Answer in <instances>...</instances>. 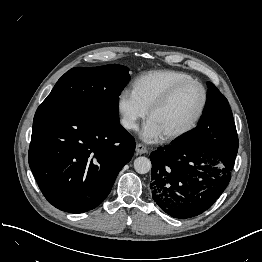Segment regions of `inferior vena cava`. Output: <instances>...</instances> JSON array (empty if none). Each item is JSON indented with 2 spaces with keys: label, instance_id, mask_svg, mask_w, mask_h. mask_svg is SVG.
<instances>
[{
  "label": "inferior vena cava",
  "instance_id": "obj_1",
  "mask_svg": "<svg viewBox=\"0 0 262 262\" xmlns=\"http://www.w3.org/2000/svg\"><path fill=\"white\" fill-rule=\"evenodd\" d=\"M121 123L123 127L126 129H137L138 128L137 123H135V121L130 118H123Z\"/></svg>",
  "mask_w": 262,
  "mask_h": 262
}]
</instances>
